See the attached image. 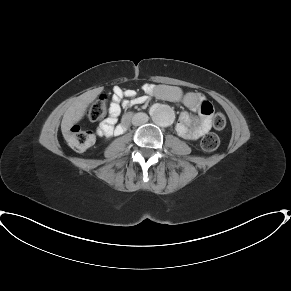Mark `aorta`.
Wrapping results in <instances>:
<instances>
[{"instance_id": "aorta-1", "label": "aorta", "mask_w": 291, "mask_h": 291, "mask_svg": "<svg viewBox=\"0 0 291 291\" xmlns=\"http://www.w3.org/2000/svg\"><path fill=\"white\" fill-rule=\"evenodd\" d=\"M151 117L155 124L167 127L174 121V112L167 105H155L151 109Z\"/></svg>"}]
</instances>
